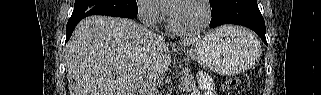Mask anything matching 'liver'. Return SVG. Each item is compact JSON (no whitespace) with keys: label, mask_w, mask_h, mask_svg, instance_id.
<instances>
[{"label":"liver","mask_w":321,"mask_h":95,"mask_svg":"<svg viewBox=\"0 0 321 95\" xmlns=\"http://www.w3.org/2000/svg\"><path fill=\"white\" fill-rule=\"evenodd\" d=\"M184 40L181 46L195 44ZM168 44L133 20L90 16L65 47L70 95H134L145 76L158 79L171 63Z\"/></svg>","instance_id":"1"}]
</instances>
